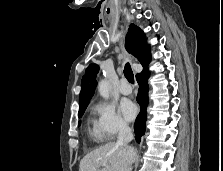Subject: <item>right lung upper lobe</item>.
Instances as JSON below:
<instances>
[{
  "instance_id": "right-lung-upper-lobe-1",
  "label": "right lung upper lobe",
  "mask_w": 223,
  "mask_h": 171,
  "mask_svg": "<svg viewBox=\"0 0 223 171\" xmlns=\"http://www.w3.org/2000/svg\"><path fill=\"white\" fill-rule=\"evenodd\" d=\"M125 47L129 53L134 55L145 70L151 60L150 48L145 41L142 30L135 24H131L126 35ZM99 72L97 64H90L81 81V92L79 106H88L97 85L96 76Z\"/></svg>"
}]
</instances>
